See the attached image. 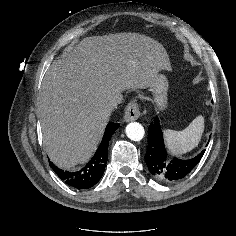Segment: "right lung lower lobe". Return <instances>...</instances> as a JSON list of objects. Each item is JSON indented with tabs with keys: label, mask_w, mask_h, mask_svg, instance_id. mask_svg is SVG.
Masks as SVG:
<instances>
[{
	"label": "right lung lower lobe",
	"mask_w": 236,
	"mask_h": 236,
	"mask_svg": "<svg viewBox=\"0 0 236 236\" xmlns=\"http://www.w3.org/2000/svg\"><path fill=\"white\" fill-rule=\"evenodd\" d=\"M119 127L118 123H109L105 129L103 139L88 164L77 172L63 171L50 163L53 171L66 184L76 189H87L95 185L103 175L107 159H108V145L109 140L116 129Z\"/></svg>",
	"instance_id": "right-lung-lower-lobe-1"
}]
</instances>
